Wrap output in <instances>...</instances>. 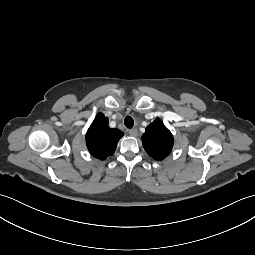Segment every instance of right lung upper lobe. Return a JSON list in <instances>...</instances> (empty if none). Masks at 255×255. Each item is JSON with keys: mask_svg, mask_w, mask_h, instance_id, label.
Returning <instances> with one entry per match:
<instances>
[{"mask_svg": "<svg viewBox=\"0 0 255 255\" xmlns=\"http://www.w3.org/2000/svg\"><path fill=\"white\" fill-rule=\"evenodd\" d=\"M123 136L118 129L108 126V119L102 114H97L86 134V144L89 152L98 159H106L113 155L117 142Z\"/></svg>", "mask_w": 255, "mask_h": 255, "instance_id": "1", "label": "right lung upper lobe"}]
</instances>
